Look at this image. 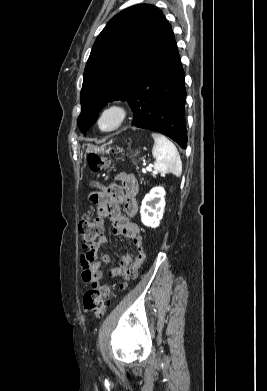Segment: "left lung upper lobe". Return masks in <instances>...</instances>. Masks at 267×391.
I'll use <instances>...</instances> for the list:
<instances>
[{
	"label": "left lung upper lobe",
	"instance_id": "obj_1",
	"mask_svg": "<svg viewBox=\"0 0 267 391\" xmlns=\"http://www.w3.org/2000/svg\"><path fill=\"white\" fill-rule=\"evenodd\" d=\"M174 39L169 22L153 5L138 4L116 14L97 37L85 67L80 130L85 133L108 102L127 100Z\"/></svg>",
	"mask_w": 267,
	"mask_h": 391
}]
</instances>
